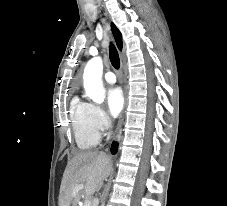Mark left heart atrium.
<instances>
[{
    "mask_svg": "<svg viewBox=\"0 0 227 206\" xmlns=\"http://www.w3.org/2000/svg\"><path fill=\"white\" fill-rule=\"evenodd\" d=\"M124 106V97L119 87L110 88L107 91V107L112 116H117Z\"/></svg>",
    "mask_w": 227,
    "mask_h": 206,
    "instance_id": "39dd6f15",
    "label": "left heart atrium"
}]
</instances>
